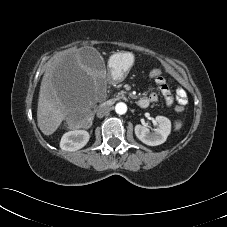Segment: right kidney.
<instances>
[{"label": "right kidney", "instance_id": "right-kidney-1", "mask_svg": "<svg viewBox=\"0 0 227 227\" xmlns=\"http://www.w3.org/2000/svg\"><path fill=\"white\" fill-rule=\"evenodd\" d=\"M90 135L85 130H73L65 133L60 141V148L65 151H77L89 141Z\"/></svg>", "mask_w": 227, "mask_h": 227}]
</instances>
